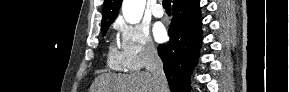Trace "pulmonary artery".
<instances>
[{
	"label": "pulmonary artery",
	"mask_w": 289,
	"mask_h": 92,
	"mask_svg": "<svg viewBox=\"0 0 289 92\" xmlns=\"http://www.w3.org/2000/svg\"><path fill=\"white\" fill-rule=\"evenodd\" d=\"M152 14L157 17L160 18L164 15V11L162 9V7L159 4H156L153 8H152Z\"/></svg>",
	"instance_id": "pulmonary-artery-1"
}]
</instances>
